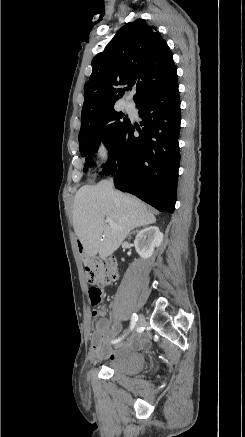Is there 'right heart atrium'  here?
<instances>
[{"mask_svg": "<svg viewBox=\"0 0 245 437\" xmlns=\"http://www.w3.org/2000/svg\"><path fill=\"white\" fill-rule=\"evenodd\" d=\"M94 154L100 165H104L111 155V143L105 134H100L94 141Z\"/></svg>", "mask_w": 245, "mask_h": 437, "instance_id": "1", "label": "right heart atrium"}]
</instances>
